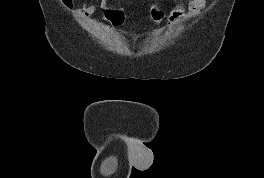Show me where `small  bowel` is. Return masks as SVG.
<instances>
[{"label": "small bowel", "instance_id": "obj_1", "mask_svg": "<svg viewBox=\"0 0 264 178\" xmlns=\"http://www.w3.org/2000/svg\"><path fill=\"white\" fill-rule=\"evenodd\" d=\"M207 0H187L176 5L165 17L167 27H175L181 23L189 21L196 17L204 8ZM107 0H96L90 3H81L75 7V10L83 16H91L97 9L104 12L109 8Z\"/></svg>", "mask_w": 264, "mask_h": 178}]
</instances>
